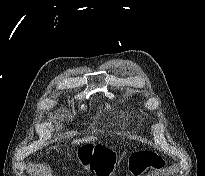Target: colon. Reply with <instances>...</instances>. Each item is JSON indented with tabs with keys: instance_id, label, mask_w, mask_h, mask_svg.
I'll return each mask as SVG.
<instances>
[{
	"instance_id": "5ec220e1",
	"label": "colon",
	"mask_w": 205,
	"mask_h": 176,
	"mask_svg": "<svg viewBox=\"0 0 205 176\" xmlns=\"http://www.w3.org/2000/svg\"><path fill=\"white\" fill-rule=\"evenodd\" d=\"M80 161L96 176H110L116 172L115 161L110 151L104 147H93L80 156ZM162 159L151 150L133 153L129 160V170L134 176H141L147 170L160 169Z\"/></svg>"
}]
</instances>
